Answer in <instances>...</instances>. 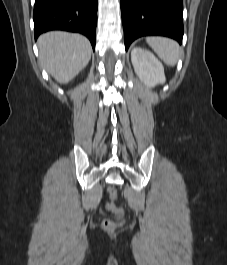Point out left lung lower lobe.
<instances>
[{
  "instance_id": "left-lung-lower-lobe-1",
  "label": "left lung lower lobe",
  "mask_w": 227,
  "mask_h": 265,
  "mask_svg": "<svg viewBox=\"0 0 227 265\" xmlns=\"http://www.w3.org/2000/svg\"><path fill=\"white\" fill-rule=\"evenodd\" d=\"M125 49L146 35L168 36L179 43L183 37L182 0H120Z\"/></svg>"
}]
</instances>
